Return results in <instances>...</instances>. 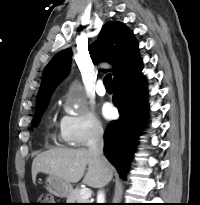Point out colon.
<instances>
[{
    "instance_id": "obj_1",
    "label": "colon",
    "mask_w": 200,
    "mask_h": 205,
    "mask_svg": "<svg viewBox=\"0 0 200 205\" xmlns=\"http://www.w3.org/2000/svg\"><path fill=\"white\" fill-rule=\"evenodd\" d=\"M38 205H53V197L50 194L40 195Z\"/></svg>"
}]
</instances>
